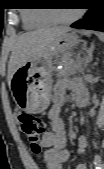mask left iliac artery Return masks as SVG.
Wrapping results in <instances>:
<instances>
[{"mask_svg": "<svg viewBox=\"0 0 104 169\" xmlns=\"http://www.w3.org/2000/svg\"><path fill=\"white\" fill-rule=\"evenodd\" d=\"M95 169H102V161L98 154L94 156Z\"/></svg>", "mask_w": 104, "mask_h": 169, "instance_id": "1", "label": "left iliac artery"}]
</instances>
